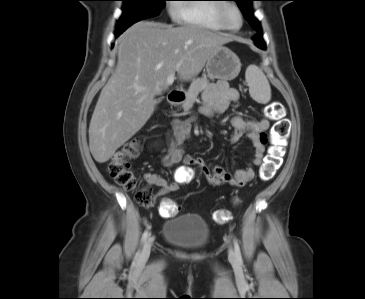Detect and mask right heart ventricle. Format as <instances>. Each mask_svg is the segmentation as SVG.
<instances>
[{"instance_id": "1", "label": "right heart ventricle", "mask_w": 365, "mask_h": 299, "mask_svg": "<svg viewBox=\"0 0 365 299\" xmlns=\"http://www.w3.org/2000/svg\"><path fill=\"white\" fill-rule=\"evenodd\" d=\"M201 3L180 4L176 19L187 25L210 30H221L217 21V10L221 0H187Z\"/></svg>"}]
</instances>
